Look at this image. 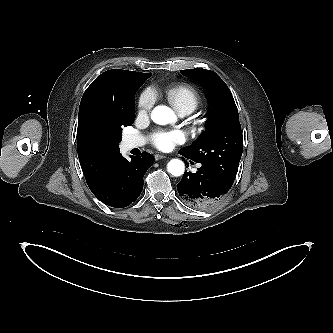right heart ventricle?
I'll list each match as a JSON object with an SVG mask.
<instances>
[{
    "label": "right heart ventricle",
    "mask_w": 333,
    "mask_h": 333,
    "mask_svg": "<svg viewBox=\"0 0 333 333\" xmlns=\"http://www.w3.org/2000/svg\"><path fill=\"white\" fill-rule=\"evenodd\" d=\"M168 100L178 112H193L200 104L198 91L187 84H180L169 88L166 92Z\"/></svg>",
    "instance_id": "e07e8e85"
}]
</instances>
